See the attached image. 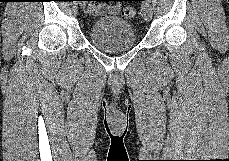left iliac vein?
I'll list each match as a JSON object with an SVG mask.
<instances>
[{"instance_id":"4c4485c4","label":"left iliac vein","mask_w":229,"mask_h":161,"mask_svg":"<svg viewBox=\"0 0 229 161\" xmlns=\"http://www.w3.org/2000/svg\"><path fill=\"white\" fill-rule=\"evenodd\" d=\"M141 13L145 21H150L152 18V7L147 0L141 6Z\"/></svg>"}]
</instances>
